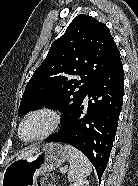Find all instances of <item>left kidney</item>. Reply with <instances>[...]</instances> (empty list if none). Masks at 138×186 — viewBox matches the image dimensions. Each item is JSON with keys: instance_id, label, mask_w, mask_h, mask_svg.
Wrapping results in <instances>:
<instances>
[{"instance_id": "obj_1", "label": "left kidney", "mask_w": 138, "mask_h": 186, "mask_svg": "<svg viewBox=\"0 0 138 186\" xmlns=\"http://www.w3.org/2000/svg\"><path fill=\"white\" fill-rule=\"evenodd\" d=\"M70 186H89V181L82 179V180L76 181L75 183L71 184Z\"/></svg>"}]
</instances>
